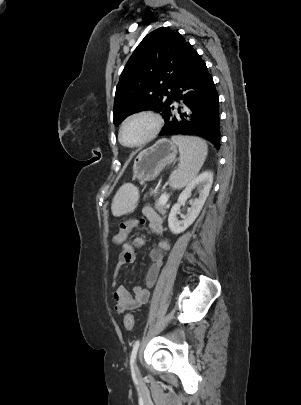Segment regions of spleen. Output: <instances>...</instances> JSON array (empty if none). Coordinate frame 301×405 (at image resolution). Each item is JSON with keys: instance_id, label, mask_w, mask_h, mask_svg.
Listing matches in <instances>:
<instances>
[{"instance_id": "3e777b00", "label": "spleen", "mask_w": 301, "mask_h": 405, "mask_svg": "<svg viewBox=\"0 0 301 405\" xmlns=\"http://www.w3.org/2000/svg\"><path fill=\"white\" fill-rule=\"evenodd\" d=\"M172 141L178 146L180 164L170 176V185L180 189L188 185L200 171L208 147L204 140L193 136H173ZM138 197V190L131 184L122 185L117 191L111 206L114 216H121L131 210Z\"/></svg>"}]
</instances>
